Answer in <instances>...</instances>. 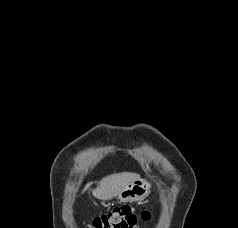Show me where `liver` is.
Returning <instances> with one entry per match:
<instances>
[{"mask_svg": "<svg viewBox=\"0 0 238 228\" xmlns=\"http://www.w3.org/2000/svg\"><path fill=\"white\" fill-rule=\"evenodd\" d=\"M140 178V176L136 173L131 172H122L109 175L99 181L98 186L93 189L92 194L94 197L104 200L111 199L113 197L118 196L122 189ZM89 184L85 186L83 192L88 188Z\"/></svg>", "mask_w": 238, "mask_h": 228, "instance_id": "obj_1", "label": "liver"}]
</instances>
